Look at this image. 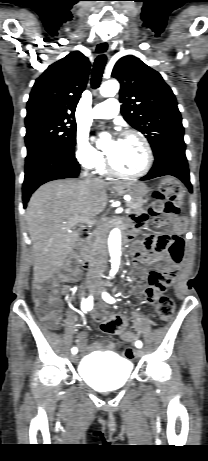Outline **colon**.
<instances>
[{"instance_id":"5ec220e1","label":"colon","mask_w":208,"mask_h":461,"mask_svg":"<svg viewBox=\"0 0 208 461\" xmlns=\"http://www.w3.org/2000/svg\"><path fill=\"white\" fill-rule=\"evenodd\" d=\"M181 194L180 184L172 179H164L159 188L153 193V202L149 206V214L152 216H166L171 219L179 217V207L177 199ZM32 299L36 310L45 324L55 329L58 322V309L60 301L58 298V284L52 279H48L44 283L36 284L33 287ZM175 311V301L169 295H164L160 298L157 305V314L162 321H171ZM128 347L133 345L131 340L126 342ZM124 358L133 360L135 358V350L126 348L124 350Z\"/></svg>"}]
</instances>
